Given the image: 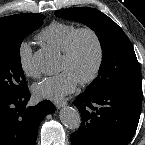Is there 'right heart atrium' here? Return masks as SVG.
Here are the masks:
<instances>
[{"label":"right heart atrium","mask_w":145,"mask_h":145,"mask_svg":"<svg viewBox=\"0 0 145 145\" xmlns=\"http://www.w3.org/2000/svg\"><path fill=\"white\" fill-rule=\"evenodd\" d=\"M17 56L20 69L25 74V76L30 78H37L39 72L33 64L32 48L27 41H23L20 43L17 51Z\"/></svg>","instance_id":"right-heart-atrium-1"}]
</instances>
